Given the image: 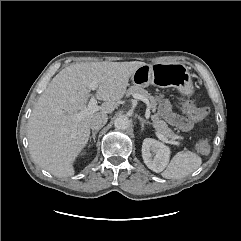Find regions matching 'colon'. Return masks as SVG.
<instances>
[{"instance_id": "obj_1", "label": "colon", "mask_w": 241, "mask_h": 241, "mask_svg": "<svg viewBox=\"0 0 241 241\" xmlns=\"http://www.w3.org/2000/svg\"><path fill=\"white\" fill-rule=\"evenodd\" d=\"M182 109L190 119L195 121L204 119L209 113L208 108L197 107L191 101L188 100L182 101ZM196 150L202 155L208 154L210 151L209 142L207 140L199 141L196 145Z\"/></svg>"}]
</instances>
